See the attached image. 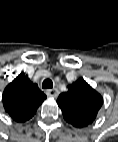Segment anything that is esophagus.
I'll use <instances>...</instances> for the list:
<instances>
[{
    "label": "esophagus",
    "instance_id": "esophagus-1",
    "mask_svg": "<svg viewBox=\"0 0 118 142\" xmlns=\"http://www.w3.org/2000/svg\"><path fill=\"white\" fill-rule=\"evenodd\" d=\"M46 94L49 97L56 98L59 95V91L56 88L48 89L47 92H46Z\"/></svg>",
    "mask_w": 118,
    "mask_h": 142
}]
</instances>
